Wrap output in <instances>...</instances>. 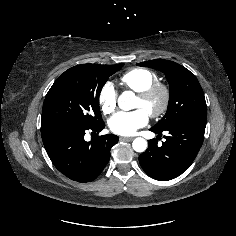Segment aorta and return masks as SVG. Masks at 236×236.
<instances>
[{
  "label": "aorta",
  "instance_id": "aorta-1",
  "mask_svg": "<svg viewBox=\"0 0 236 236\" xmlns=\"http://www.w3.org/2000/svg\"><path fill=\"white\" fill-rule=\"evenodd\" d=\"M131 97L130 92H124L119 98H118V104L121 108H124L125 102L129 101ZM147 141L142 138L138 137L133 140L132 147L136 152H144L147 149Z\"/></svg>",
  "mask_w": 236,
  "mask_h": 236
}]
</instances>
